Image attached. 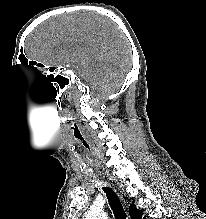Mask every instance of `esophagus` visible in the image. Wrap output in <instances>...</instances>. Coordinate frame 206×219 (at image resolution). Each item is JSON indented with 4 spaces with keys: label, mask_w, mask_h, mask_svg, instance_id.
<instances>
[{
    "label": "esophagus",
    "mask_w": 206,
    "mask_h": 219,
    "mask_svg": "<svg viewBox=\"0 0 206 219\" xmlns=\"http://www.w3.org/2000/svg\"><path fill=\"white\" fill-rule=\"evenodd\" d=\"M121 200L125 203V200L123 199V197L120 195Z\"/></svg>",
    "instance_id": "obj_1"
}]
</instances>
